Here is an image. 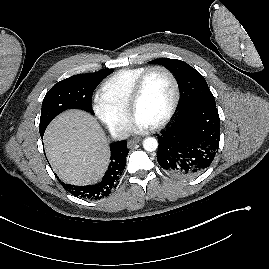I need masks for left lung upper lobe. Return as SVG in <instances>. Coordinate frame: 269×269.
I'll list each match as a JSON object with an SVG mask.
<instances>
[{"instance_id":"left-lung-upper-lobe-1","label":"left lung upper lobe","mask_w":269,"mask_h":269,"mask_svg":"<svg viewBox=\"0 0 269 269\" xmlns=\"http://www.w3.org/2000/svg\"><path fill=\"white\" fill-rule=\"evenodd\" d=\"M149 63L160 64L175 75L181 94V104L178 114L191 106L203 104L216 105L204 77L187 63L168 58L155 59Z\"/></svg>"}]
</instances>
